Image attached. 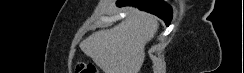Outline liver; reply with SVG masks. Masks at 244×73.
Returning a JSON list of instances; mask_svg holds the SVG:
<instances>
[{
    "label": "liver",
    "instance_id": "1",
    "mask_svg": "<svg viewBox=\"0 0 244 73\" xmlns=\"http://www.w3.org/2000/svg\"><path fill=\"white\" fill-rule=\"evenodd\" d=\"M158 28L157 17L130 8L124 21L93 33L80 43V48L104 73H139L145 59V45Z\"/></svg>",
    "mask_w": 244,
    "mask_h": 73
}]
</instances>
